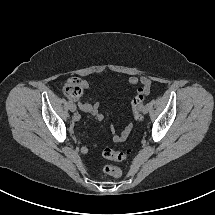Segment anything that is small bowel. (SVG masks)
Segmentation results:
<instances>
[{
  "label": "small bowel",
  "instance_id": "1",
  "mask_svg": "<svg viewBox=\"0 0 215 215\" xmlns=\"http://www.w3.org/2000/svg\"><path fill=\"white\" fill-rule=\"evenodd\" d=\"M129 83L131 85L141 84L149 88L151 81L147 76H141V77H130ZM88 87H89L88 83L86 81H83V89H87ZM77 104L81 111L90 114L97 122L102 120L103 114L101 112L100 105L98 103H94L90 99L89 100L78 99ZM79 120H80V116L78 114L75 115L74 122H77ZM131 130H132V125L131 124L126 125L125 128L120 133L113 135V140L115 142L124 141L130 134ZM82 151L86 152V148H82Z\"/></svg>",
  "mask_w": 215,
  "mask_h": 215
}]
</instances>
